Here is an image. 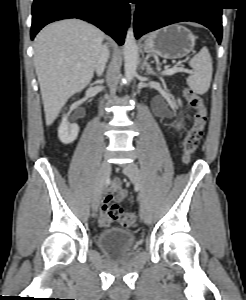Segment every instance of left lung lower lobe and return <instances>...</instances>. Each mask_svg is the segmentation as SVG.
<instances>
[{"label":"left lung lower lobe","mask_w":246,"mask_h":300,"mask_svg":"<svg viewBox=\"0 0 246 300\" xmlns=\"http://www.w3.org/2000/svg\"><path fill=\"white\" fill-rule=\"evenodd\" d=\"M134 18L136 38L147 32L181 21L209 28L218 43L222 38V7L218 0H137Z\"/></svg>","instance_id":"left-lung-lower-lobe-1"}]
</instances>
